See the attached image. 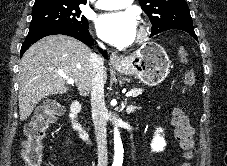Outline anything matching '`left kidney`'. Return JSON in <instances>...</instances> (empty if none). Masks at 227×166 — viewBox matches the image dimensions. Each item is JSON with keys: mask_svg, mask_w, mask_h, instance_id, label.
Here are the masks:
<instances>
[{"mask_svg": "<svg viewBox=\"0 0 227 166\" xmlns=\"http://www.w3.org/2000/svg\"><path fill=\"white\" fill-rule=\"evenodd\" d=\"M163 129L158 128L155 131L154 137L151 141V149L153 152H162L166 146L164 137L161 135Z\"/></svg>", "mask_w": 227, "mask_h": 166, "instance_id": "1", "label": "left kidney"}]
</instances>
